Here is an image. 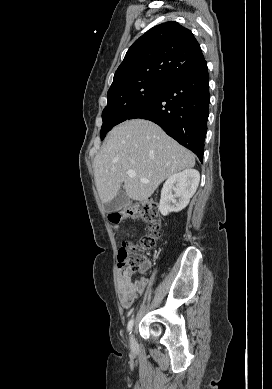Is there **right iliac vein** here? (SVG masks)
Wrapping results in <instances>:
<instances>
[{"label":"right iliac vein","instance_id":"1","mask_svg":"<svg viewBox=\"0 0 272 389\" xmlns=\"http://www.w3.org/2000/svg\"><path fill=\"white\" fill-rule=\"evenodd\" d=\"M136 346H137V342H136L135 336H134V334H131V336H130V347L132 349H134V348H136Z\"/></svg>","mask_w":272,"mask_h":389}]
</instances>
